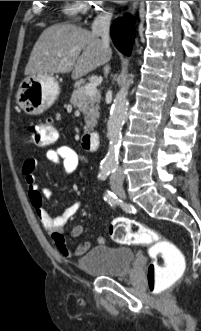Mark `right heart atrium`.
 I'll list each match as a JSON object with an SVG mask.
<instances>
[{"label":"right heart atrium","instance_id":"1","mask_svg":"<svg viewBox=\"0 0 201 331\" xmlns=\"http://www.w3.org/2000/svg\"><path fill=\"white\" fill-rule=\"evenodd\" d=\"M87 19H98V16H107L108 10L105 9V1H79Z\"/></svg>","mask_w":201,"mask_h":331}]
</instances>
